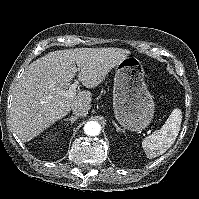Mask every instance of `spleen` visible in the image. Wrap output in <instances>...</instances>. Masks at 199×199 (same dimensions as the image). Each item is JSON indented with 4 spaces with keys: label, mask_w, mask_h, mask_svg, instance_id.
<instances>
[{
    "label": "spleen",
    "mask_w": 199,
    "mask_h": 199,
    "mask_svg": "<svg viewBox=\"0 0 199 199\" xmlns=\"http://www.w3.org/2000/svg\"><path fill=\"white\" fill-rule=\"evenodd\" d=\"M182 122V111L174 109L160 130L146 137L142 147L150 159L164 154L175 142Z\"/></svg>",
    "instance_id": "1"
}]
</instances>
